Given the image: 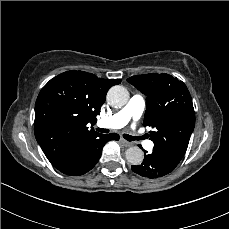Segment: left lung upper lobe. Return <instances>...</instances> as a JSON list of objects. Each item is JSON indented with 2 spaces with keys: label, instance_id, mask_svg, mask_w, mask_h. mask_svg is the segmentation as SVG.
<instances>
[{
  "label": "left lung upper lobe",
  "instance_id": "obj_1",
  "mask_svg": "<svg viewBox=\"0 0 229 229\" xmlns=\"http://www.w3.org/2000/svg\"><path fill=\"white\" fill-rule=\"evenodd\" d=\"M128 82L147 96L144 126L153 128V154L174 169L183 158L195 126V112L186 85L166 74H144Z\"/></svg>",
  "mask_w": 229,
  "mask_h": 229
}]
</instances>
